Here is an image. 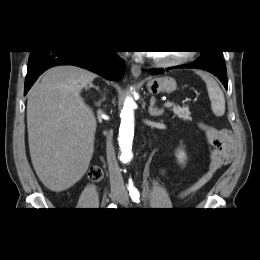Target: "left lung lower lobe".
<instances>
[{
    "label": "left lung lower lobe",
    "instance_id": "0a47b994",
    "mask_svg": "<svg viewBox=\"0 0 260 260\" xmlns=\"http://www.w3.org/2000/svg\"><path fill=\"white\" fill-rule=\"evenodd\" d=\"M174 68H195L206 70L218 77L227 89L226 67L220 53L207 51L205 53H202L201 57L196 61L189 64L176 66ZM163 72L164 70L162 69H151L152 75H157Z\"/></svg>",
    "mask_w": 260,
    "mask_h": 260
}]
</instances>
